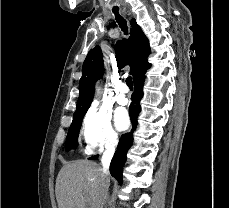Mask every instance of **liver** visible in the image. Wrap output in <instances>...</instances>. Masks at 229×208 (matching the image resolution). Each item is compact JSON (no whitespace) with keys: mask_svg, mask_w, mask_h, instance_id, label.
Instances as JSON below:
<instances>
[{"mask_svg":"<svg viewBox=\"0 0 229 208\" xmlns=\"http://www.w3.org/2000/svg\"><path fill=\"white\" fill-rule=\"evenodd\" d=\"M101 168L90 160H75L61 168L56 180L58 208H100ZM87 202V204H86Z\"/></svg>","mask_w":229,"mask_h":208,"instance_id":"6515ba94","label":"liver"}]
</instances>
